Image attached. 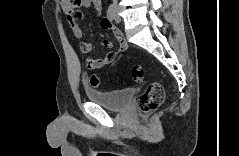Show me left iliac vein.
Returning a JSON list of instances; mask_svg holds the SVG:
<instances>
[{
    "instance_id": "1",
    "label": "left iliac vein",
    "mask_w": 239,
    "mask_h": 156,
    "mask_svg": "<svg viewBox=\"0 0 239 156\" xmlns=\"http://www.w3.org/2000/svg\"><path fill=\"white\" fill-rule=\"evenodd\" d=\"M115 21L117 22V23H120L121 22V18H120V16L118 15V9L116 8V10H115Z\"/></svg>"
}]
</instances>
